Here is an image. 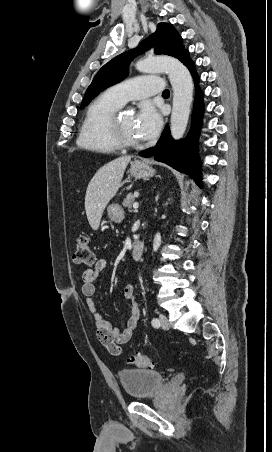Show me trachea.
Wrapping results in <instances>:
<instances>
[{"label": "trachea", "instance_id": "3493384b", "mask_svg": "<svg viewBox=\"0 0 272 452\" xmlns=\"http://www.w3.org/2000/svg\"><path fill=\"white\" fill-rule=\"evenodd\" d=\"M169 94H170V92H169L168 89L164 90L163 93H162V95H169Z\"/></svg>", "mask_w": 272, "mask_h": 452}]
</instances>
